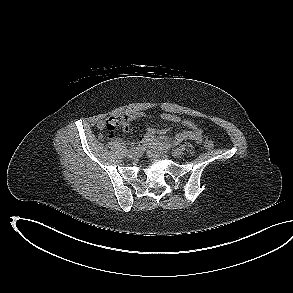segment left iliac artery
<instances>
[{
    "instance_id": "44dca946",
    "label": "left iliac artery",
    "mask_w": 293,
    "mask_h": 293,
    "mask_svg": "<svg viewBox=\"0 0 293 293\" xmlns=\"http://www.w3.org/2000/svg\"><path fill=\"white\" fill-rule=\"evenodd\" d=\"M180 148H181L182 151L185 150V146L184 145H181Z\"/></svg>"
}]
</instances>
